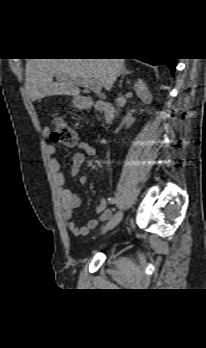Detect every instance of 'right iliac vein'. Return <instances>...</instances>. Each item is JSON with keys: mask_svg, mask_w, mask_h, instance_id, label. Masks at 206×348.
Here are the masks:
<instances>
[{"mask_svg": "<svg viewBox=\"0 0 206 348\" xmlns=\"http://www.w3.org/2000/svg\"><path fill=\"white\" fill-rule=\"evenodd\" d=\"M123 218V213L121 211L117 212L112 219L107 223L106 230H112L115 228Z\"/></svg>", "mask_w": 206, "mask_h": 348, "instance_id": "right-iliac-vein-1", "label": "right iliac vein"}]
</instances>
